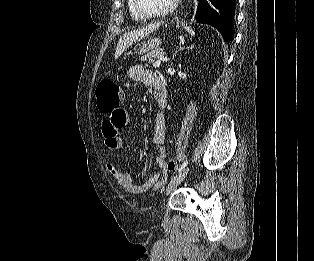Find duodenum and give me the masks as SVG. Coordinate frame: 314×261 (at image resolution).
<instances>
[{
	"label": "duodenum",
	"instance_id": "1",
	"mask_svg": "<svg viewBox=\"0 0 314 261\" xmlns=\"http://www.w3.org/2000/svg\"><path fill=\"white\" fill-rule=\"evenodd\" d=\"M155 97L161 105H165L167 96L165 90L162 87L156 90Z\"/></svg>",
	"mask_w": 314,
	"mask_h": 261
}]
</instances>
